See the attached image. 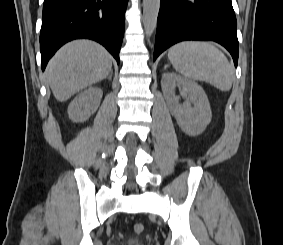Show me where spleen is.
<instances>
[{
	"mask_svg": "<svg viewBox=\"0 0 283 245\" xmlns=\"http://www.w3.org/2000/svg\"><path fill=\"white\" fill-rule=\"evenodd\" d=\"M168 58L174 69L190 80L210 83L221 91H229L232 87V65L209 42L182 41L169 49Z\"/></svg>",
	"mask_w": 283,
	"mask_h": 245,
	"instance_id": "1",
	"label": "spleen"
}]
</instances>
